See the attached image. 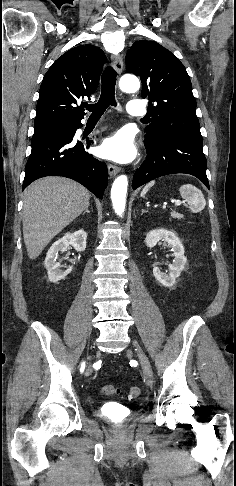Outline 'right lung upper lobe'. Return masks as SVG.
<instances>
[{"mask_svg":"<svg viewBox=\"0 0 236 486\" xmlns=\"http://www.w3.org/2000/svg\"><path fill=\"white\" fill-rule=\"evenodd\" d=\"M105 62L104 52L88 44L59 57L43 77L34 126L82 119L81 100L96 91Z\"/></svg>","mask_w":236,"mask_h":486,"instance_id":"1","label":"right lung upper lobe"}]
</instances>
